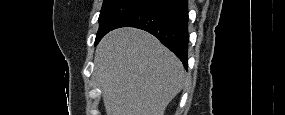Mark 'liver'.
<instances>
[{
	"label": "liver",
	"mask_w": 285,
	"mask_h": 115,
	"mask_svg": "<svg viewBox=\"0 0 285 115\" xmlns=\"http://www.w3.org/2000/svg\"><path fill=\"white\" fill-rule=\"evenodd\" d=\"M94 63L107 115H164L184 87L180 60L136 28L109 32L96 48Z\"/></svg>",
	"instance_id": "1"
}]
</instances>
